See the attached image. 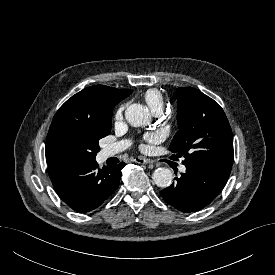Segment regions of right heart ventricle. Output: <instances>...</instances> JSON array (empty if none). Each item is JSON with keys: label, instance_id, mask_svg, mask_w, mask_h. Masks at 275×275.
<instances>
[{"label": "right heart ventricle", "instance_id": "right-heart-ventricle-1", "mask_svg": "<svg viewBox=\"0 0 275 275\" xmlns=\"http://www.w3.org/2000/svg\"><path fill=\"white\" fill-rule=\"evenodd\" d=\"M144 100L149 106V108L153 111L157 108L162 109L164 105V98L161 92L157 89H148L144 95Z\"/></svg>", "mask_w": 275, "mask_h": 275}]
</instances>
